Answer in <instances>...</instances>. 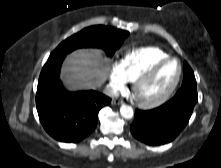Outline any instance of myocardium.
I'll list each match as a JSON object with an SVG mask.
<instances>
[{
    "label": "myocardium",
    "mask_w": 221,
    "mask_h": 168,
    "mask_svg": "<svg viewBox=\"0 0 221 168\" xmlns=\"http://www.w3.org/2000/svg\"><path fill=\"white\" fill-rule=\"evenodd\" d=\"M169 62H176L178 66L177 75L174 81L159 95L152 97V98L143 97L141 94L142 87L153 78V76L158 72V70L161 67H163L165 64ZM181 75H182V65H181V62L177 58L167 57L154 63L134 81L133 95H134L135 100L141 107H144V108H153V107H157L163 104L166 100H168V98L176 90L181 80Z\"/></svg>",
    "instance_id": "f54148a6"
}]
</instances>
